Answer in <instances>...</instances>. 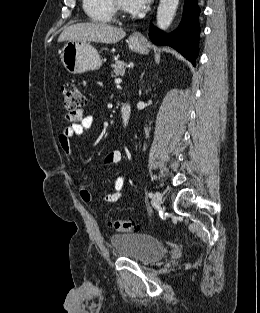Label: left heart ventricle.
<instances>
[{
    "instance_id": "1",
    "label": "left heart ventricle",
    "mask_w": 260,
    "mask_h": 313,
    "mask_svg": "<svg viewBox=\"0 0 260 313\" xmlns=\"http://www.w3.org/2000/svg\"><path fill=\"white\" fill-rule=\"evenodd\" d=\"M118 1H119L120 5H121L124 9H126V7H125V5H124V3H123V0H118Z\"/></svg>"
}]
</instances>
